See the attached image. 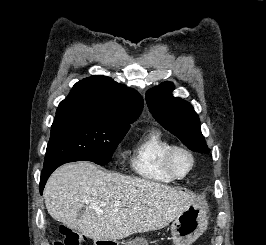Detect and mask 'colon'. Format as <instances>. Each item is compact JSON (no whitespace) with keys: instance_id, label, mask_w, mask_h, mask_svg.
<instances>
[{"instance_id":"colon-1","label":"colon","mask_w":266,"mask_h":245,"mask_svg":"<svg viewBox=\"0 0 266 245\" xmlns=\"http://www.w3.org/2000/svg\"><path fill=\"white\" fill-rule=\"evenodd\" d=\"M60 233L63 238L57 240L54 245H82L84 243L83 236L66 225L60 227Z\"/></svg>"}]
</instances>
